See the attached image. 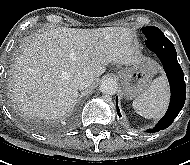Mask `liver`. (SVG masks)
I'll return each mask as SVG.
<instances>
[{
    "mask_svg": "<svg viewBox=\"0 0 190 165\" xmlns=\"http://www.w3.org/2000/svg\"><path fill=\"white\" fill-rule=\"evenodd\" d=\"M141 60L133 34L123 27L54 28L28 40L10 71L13 102L30 118L59 119L71 112L78 89L73 78H99L109 63L133 65Z\"/></svg>",
    "mask_w": 190,
    "mask_h": 165,
    "instance_id": "1",
    "label": "liver"
}]
</instances>
